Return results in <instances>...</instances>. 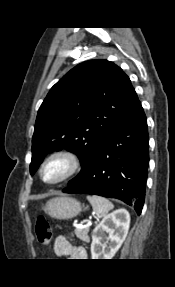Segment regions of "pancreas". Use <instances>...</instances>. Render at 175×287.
<instances>
[{
	"label": "pancreas",
	"instance_id": "pancreas-1",
	"mask_svg": "<svg viewBox=\"0 0 175 287\" xmlns=\"http://www.w3.org/2000/svg\"><path fill=\"white\" fill-rule=\"evenodd\" d=\"M89 233V227L85 228H76L75 229V235L84 242H89L90 238L88 236Z\"/></svg>",
	"mask_w": 175,
	"mask_h": 287
}]
</instances>
